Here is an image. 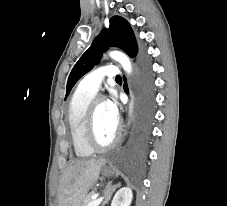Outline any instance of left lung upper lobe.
Here are the masks:
<instances>
[{"label":"left lung upper lobe","instance_id":"left-lung-upper-lobe-1","mask_svg":"<svg viewBox=\"0 0 227 206\" xmlns=\"http://www.w3.org/2000/svg\"><path fill=\"white\" fill-rule=\"evenodd\" d=\"M107 47L121 48L132 58L137 56L138 47L134 33L130 24L124 18L119 16L112 17L109 28L102 29L91 47L75 64L68 78L65 99L75 83L99 62Z\"/></svg>","mask_w":227,"mask_h":206}]
</instances>
